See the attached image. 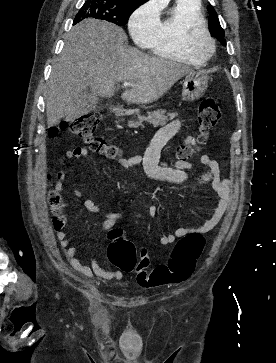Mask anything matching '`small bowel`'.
<instances>
[{
	"label": "small bowel",
	"instance_id": "small-bowel-1",
	"mask_svg": "<svg viewBox=\"0 0 276 363\" xmlns=\"http://www.w3.org/2000/svg\"><path fill=\"white\" fill-rule=\"evenodd\" d=\"M181 126L182 122L179 119L173 120L163 126L157 132L143 156H137L130 159H116V162L125 169L141 164L146 175L156 181L177 185L190 183L197 185L209 184L212 187L216 196V207L210 218L202 225L195 227H180L168 235L161 236L159 239L161 245H170L176 239L189 233L205 234L214 230L226 213L231 198V182L228 179L220 178L219 164L210 156L203 155L201 157V163L205 167V170L197 174L190 173L192 165L188 163L177 162L174 165H168L160 162L162 148L179 132ZM184 141L188 146H197V140L193 136H187ZM88 155L89 151L86 147H76L65 152L63 163L66 165L70 160L86 158ZM65 180L66 174L64 171H61L58 174V181L55 185L57 191H62L64 189ZM73 193L77 197L82 196V191L79 189H74ZM84 208L94 213L103 214L101 208L90 199L85 200ZM147 215L149 217H154L156 215V208L150 206ZM104 216V228L112 227L118 223L122 217L120 213H107L104 214ZM57 238L65 251V256L71 267L85 278L89 280L100 278L108 281H119L123 278V273L120 270L106 269L100 265L98 259H92L89 265L82 264L79 248L70 246L71 240L66 236L65 231H59L57 233Z\"/></svg>",
	"mask_w": 276,
	"mask_h": 363
}]
</instances>
